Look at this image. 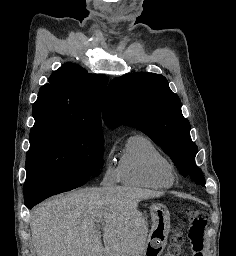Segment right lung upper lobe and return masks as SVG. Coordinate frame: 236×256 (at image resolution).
Here are the masks:
<instances>
[{
    "label": "right lung upper lobe",
    "mask_w": 236,
    "mask_h": 256,
    "mask_svg": "<svg viewBox=\"0 0 236 256\" xmlns=\"http://www.w3.org/2000/svg\"><path fill=\"white\" fill-rule=\"evenodd\" d=\"M108 79L66 63L49 77L33 105L34 125L67 124L101 131V105Z\"/></svg>",
    "instance_id": "obj_1"
}]
</instances>
